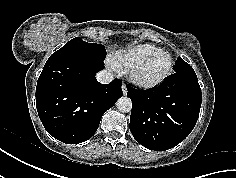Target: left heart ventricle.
<instances>
[{
  "mask_svg": "<svg viewBox=\"0 0 236 178\" xmlns=\"http://www.w3.org/2000/svg\"><path fill=\"white\" fill-rule=\"evenodd\" d=\"M170 60L166 55L155 57L148 61L141 70V76L148 80L159 78L169 66Z\"/></svg>",
  "mask_w": 236,
  "mask_h": 178,
  "instance_id": "1",
  "label": "left heart ventricle"
}]
</instances>
